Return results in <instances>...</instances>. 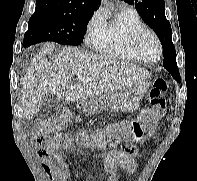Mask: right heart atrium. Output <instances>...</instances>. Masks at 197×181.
Wrapping results in <instances>:
<instances>
[{"instance_id":"1","label":"right heart atrium","mask_w":197,"mask_h":181,"mask_svg":"<svg viewBox=\"0 0 197 181\" xmlns=\"http://www.w3.org/2000/svg\"><path fill=\"white\" fill-rule=\"evenodd\" d=\"M103 19V15L100 10H97L92 14L86 27V37L88 41H91L92 38L97 34L102 25Z\"/></svg>"}]
</instances>
